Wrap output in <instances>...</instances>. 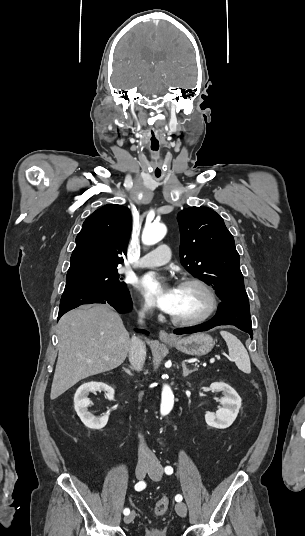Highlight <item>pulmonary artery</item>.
<instances>
[{
  "mask_svg": "<svg viewBox=\"0 0 305 536\" xmlns=\"http://www.w3.org/2000/svg\"><path fill=\"white\" fill-rule=\"evenodd\" d=\"M170 250L167 244H160L151 251L147 252L136 264L140 268H150L161 266L170 261Z\"/></svg>",
  "mask_w": 305,
  "mask_h": 536,
  "instance_id": "obj_1",
  "label": "pulmonary artery"
}]
</instances>
